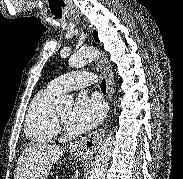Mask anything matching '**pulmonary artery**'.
<instances>
[{"instance_id": "e3ab8cb5", "label": "pulmonary artery", "mask_w": 183, "mask_h": 179, "mask_svg": "<svg viewBox=\"0 0 183 179\" xmlns=\"http://www.w3.org/2000/svg\"><path fill=\"white\" fill-rule=\"evenodd\" d=\"M95 82V76L87 71H75L64 74L52 80L49 88L61 94L67 91L79 89Z\"/></svg>"}]
</instances>
